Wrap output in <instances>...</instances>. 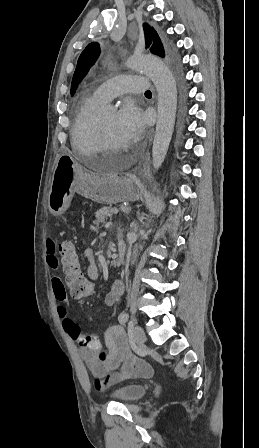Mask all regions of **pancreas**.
<instances>
[{
  "label": "pancreas",
  "instance_id": "obj_1",
  "mask_svg": "<svg viewBox=\"0 0 259 448\" xmlns=\"http://www.w3.org/2000/svg\"><path fill=\"white\" fill-rule=\"evenodd\" d=\"M117 212L116 208H102V210H98V212H95L94 226H91L90 230H97L100 224H104L105 220L112 218L113 214H117Z\"/></svg>",
  "mask_w": 259,
  "mask_h": 448
}]
</instances>
